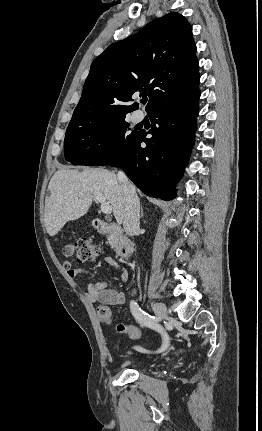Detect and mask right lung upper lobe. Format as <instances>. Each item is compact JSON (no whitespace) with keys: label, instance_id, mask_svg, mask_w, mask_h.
Segmentation results:
<instances>
[{"label":"right lung upper lobe","instance_id":"obj_1","mask_svg":"<svg viewBox=\"0 0 262 431\" xmlns=\"http://www.w3.org/2000/svg\"><path fill=\"white\" fill-rule=\"evenodd\" d=\"M192 27L171 12L137 34L111 44L92 63L70 123L125 116L126 105L148 91L147 111L184 99L199 86V64Z\"/></svg>","mask_w":262,"mask_h":431}]
</instances>
